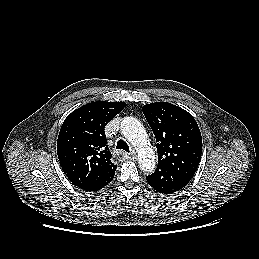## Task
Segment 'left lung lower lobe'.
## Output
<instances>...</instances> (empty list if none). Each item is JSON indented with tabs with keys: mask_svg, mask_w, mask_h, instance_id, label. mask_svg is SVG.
Instances as JSON below:
<instances>
[{
	"mask_svg": "<svg viewBox=\"0 0 259 259\" xmlns=\"http://www.w3.org/2000/svg\"><path fill=\"white\" fill-rule=\"evenodd\" d=\"M148 184L156 191L171 194L185 187L186 178L164 168H156L155 172L146 177Z\"/></svg>",
	"mask_w": 259,
	"mask_h": 259,
	"instance_id": "left-lung-lower-lobe-1",
	"label": "left lung lower lobe"
}]
</instances>
